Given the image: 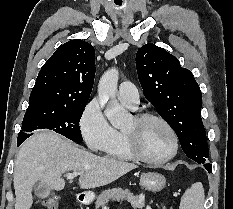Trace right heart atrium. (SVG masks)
Listing matches in <instances>:
<instances>
[{"label":"right heart atrium","mask_w":233,"mask_h":209,"mask_svg":"<svg viewBox=\"0 0 233 209\" xmlns=\"http://www.w3.org/2000/svg\"><path fill=\"white\" fill-rule=\"evenodd\" d=\"M79 127L85 143L93 151H102L113 142L116 134L98 99H92L86 104L80 115Z\"/></svg>","instance_id":"obj_1"}]
</instances>
